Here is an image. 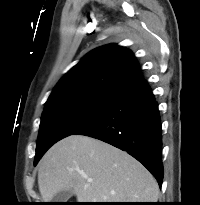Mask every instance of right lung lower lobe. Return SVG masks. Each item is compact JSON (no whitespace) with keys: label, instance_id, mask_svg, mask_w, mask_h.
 Listing matches in <instances>:
<instances>
[{"label":"right lung lower lobe","instance_id":"1","mask_svg":"<svg viewBox=\"0 0 200 205\" xmlns=\"http://www.w3.org/2000/svg\"><path fill=\"white\" fill-rule=\"evenodd\" d=\"M74 134L90 136L127 151L161 186V121L155 97L145 80L123 92L102 115Z\"/></svg>","mask_w":200,"mask_h":205}]
</instances>
